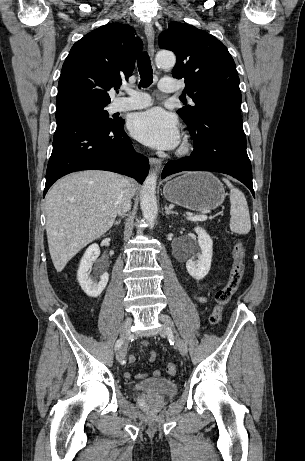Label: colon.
I'll list each match as a JSON object with an SVG mask.
<instances>
[{"mask_svg": "<svg viewBox=\"0 0 305 461\" xmlns=\"http://www.w3.org/2000/svg\"><path fill=\"white\" fill-rule=\"evenodd\" d=\"M233 258L234 263L229 279L226 285L221 288L215 296L216 304L209 317V321L212 325H218L220 323L224 306L238 290L243 279L245 272V250L240 241H237L234 245ZM165 371L170 375H174L177 372V367L174 363H168L165 366Z\"/></svg>", "mask_w": 305, "mask_h": 461, "instance_id": "5ec220e1", "label": "colon"}]
</instances>
